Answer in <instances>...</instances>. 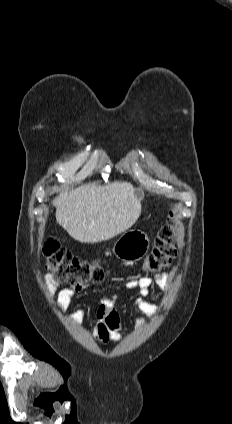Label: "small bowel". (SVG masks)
Masks as SVG:
<instances>
[{
  "label": "small bowel",
  "mask_w": 232,
  "mask_h": 424,
  "mask_svg": "<svg viewBox=\"0 0 232 424\" xmlns=\"http://www.w3.org/2000/svg\"><path fill=\"white\" fill-rule=\"evenodd\" d=\"M178 270L179 267L174 266L169 273H157L153 278L141 277L129 282V287L137 289L140 294V297L135 300V311L138 315L154 318L159 314L158 307L147 300V297L151 293V286L155 284L162 292L167 293L175 280ZM56 288L57 286L55 283H49V289L51 291H55ZM86 288V285H82L75 288L60 289L57 296L59 308L61 310H66L70 306L72 298ZM84 316V309L79 308L72 312L71 319L78 323ZM120 330L121 324L119 313L113 307L112 302L106 299L96 311V322L93 329V335L96 340L106 344L119 340Z\"/></svg>",
  "instance_id": "obj_1"
}]
</instances>
